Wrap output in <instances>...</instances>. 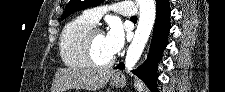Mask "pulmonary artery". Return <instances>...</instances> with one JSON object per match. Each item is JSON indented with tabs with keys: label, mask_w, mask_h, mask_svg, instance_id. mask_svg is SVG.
I'll return each instance as SVG.
<instances>
[{
	"label": "pulmonary artery",
	"mask_w": 225,
	"mask_h": 92,
	"mask_svg": "<svg viewBox=\"0 0 225 92\" xmlns=\"http://www.w3.org/2000/svg\"><path fill=\"white\" fill-rule=\"evenodd\" d=\"M132 6V3L121 2L116 7H113L112 10L114 12L120 13L121 15L132 18L134 16V13L130 9L132 8ZM104 11L105 9L103 7L91 8L85 10L82 16L92 24L96 25L100 21V18Z\"/></svg>",
	"instance_id": "pulmonary-artery-1"
}]
</instances>
